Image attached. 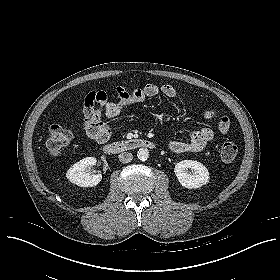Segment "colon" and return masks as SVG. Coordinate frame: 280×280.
<instances>
[{
	"label": "colon",
	"mask_w": 280,
	"mask_h": 280,
	"mask_svg": "<svg viewBox=\"0 0 280 280\" xmlns=\"http://www.w3.org/2000/svg\"><path fill=\"white\" fill-rule=\"evenodd\" d=\"M218 122L223 128L230 127V120L227 116H221ZM89 133L96 138L105 136L104 131L95 127L90 128ZM71 140L72 132L69 129L61 125H53L48 130L46 149L53 157H58L69 145ZM237 152L238 148L234 143H225L221 148V159L224 162H231L236 158Z\"/></svg>",
	"instance_id": "colon-1"
}]
</instances>
